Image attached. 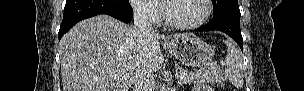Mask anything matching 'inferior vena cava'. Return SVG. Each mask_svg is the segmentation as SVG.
Here are the masks:
<instances>
[{"label": "inferior vena cava", "mask_w": 304, "mask_h": 91, "mask_svg": "<svg viewBox=\"0 0 304 91\" xmlns=\"http://www.w3.org/2000/svg\"><path fill=\"white\" fill-rule=\"evenodd\" d=\"M148 10L144 6L134 7V27L138 38L142 41L147 35L153 34L152 25L148 21ZM134 91H153L154 75L153 71L146 66H139L133 76Z\"/></svg>", "instance_id": "602c4592"}]
</instances>
